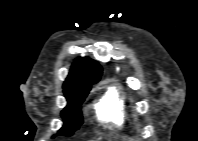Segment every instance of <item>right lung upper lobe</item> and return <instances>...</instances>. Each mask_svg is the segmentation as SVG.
<instances>
[{
  "label": "right lung upper lobe",
  "mask_w": 198,
  "mask_h": 141,
  "mask_svg": "<svg viewBox=\"0 0 198 141\" xmlns=\"http://www.w3.org/2000/svg\"><path fill=\"white\" fill-rule=\"evenodd\" d=\"M102 74L101 66L90 58H77L73 63L63 88L92 85L99 81Z\"/></svg>",
  "instance_id": "cb5924a9"
}]
</instances>
